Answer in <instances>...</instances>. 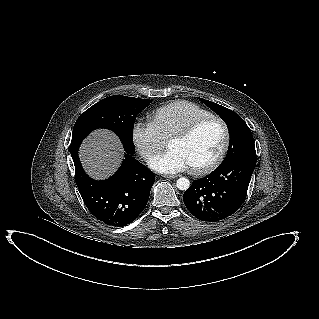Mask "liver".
Instances as JSON below:
<instances>
[{
  "label": "liver",
  "mask_w": 319,
  "mask_h": 319,
  "mask_svg": "<svg viewBox=\"0 0 319 319\" xmlns=\"http://www.w3.org/2000/svg\"><path fill=\"white\" fill-rule=\"evenodd\" d=\"M79 157L89 176L103 180L111 176L120 166L123 147L112 132L99 129L81 144Z\"/></svg>",
  "instance_id": "obj_1"
}]
</instances>
